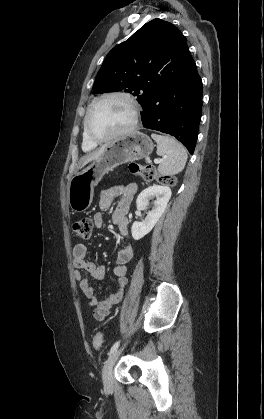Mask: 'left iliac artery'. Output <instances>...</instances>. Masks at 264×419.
I'll list each match as a JSON object with an SVG mask.
<instances>
[{"instance_id": "1", "label": "left iliac artery", "mask_w": 264, "mask_h": 419, "mask_svg": "<svg viewBox=\"0 0 264 419\" xmlns=\"http://www.w3.org/2000/svg\"><path fill=\"white\" fill-rule=\"evenodd\" d=\"M120 341H117L110 349V352L108 353V355H111L119 346Z\"/></svg>"}]
</instances>
